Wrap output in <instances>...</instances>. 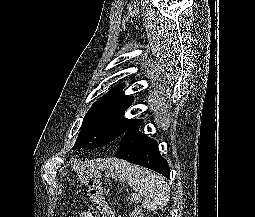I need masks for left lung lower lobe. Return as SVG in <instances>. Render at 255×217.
Returning a JSON list of instances; mask_svg holds the SVG:
<instances>
[{
  "label": "left lung lower lobe",
  "instance_id": "1",
  "mask_svg": "<svg viewBox=\"0 0 255 217\" xmlns=\"http://www.w3.org/2000/svg\"><path fill=\"white\" fill-rule=\"evenodd\" d=\"M142 120L134 122L121 138L116 157L170 177L167 161L160 155L157 142L139 131Z\"/></svg>",
  "mask_w": 255,
  "mask_h": 217
}]
</instances>
